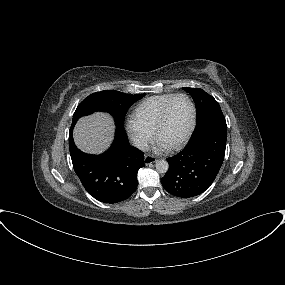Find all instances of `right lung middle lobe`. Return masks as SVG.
<instances>
[{
	"label": "right lung middle lobe",
	"instance_id": "dd1d6c3e",
	"mask_svg": "<svg viewBox=\"0 0 285 285\" xmlns=\"http://www.w3.org/2000/svg\"><path fill=\"white\" fill-rule=\"evenodd\" d=\"M145 94L129 95L115 90L96 92L86 97L76 108L73 122L95 111L110 113L118 130H124V117L129 107Z\"/></svg>",
	"mask_w": 285,
	"mask_h": 285
}]
</instances>
